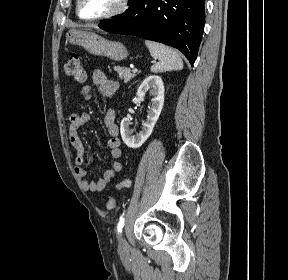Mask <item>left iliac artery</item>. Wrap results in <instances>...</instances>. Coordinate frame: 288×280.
I'll use <instances>...</instances> for the list:
<instances>
[{
	"instance_id": "obj_1",
	"label": "left iliac artery",
	"mask_w": 288,
	"mask_h": 280,
	"mask_svg": "<svg viewBox=\"0 0 288 280\" xmlns=\"http://www.w3.org/2000/svg\"><path fill=\"white\" fill-rule=\"evenodd\" d=\"M124 222H125V218L124 217L120 218V221L118 222V225H117L118 234L122 232V228L124 227Z\"/></svg>"
}]
</instances>
